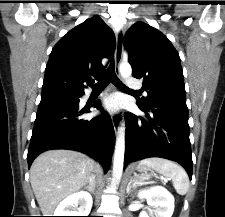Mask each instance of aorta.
Instances as JSON below:
<instances>
[{"instance_id":"aorta-1","label":"aorta","mask_w":225,"mask_h":217,"mask_svg":"<svg viewBox=\"0 0 225 217\" xmlns=\"http://www.w3.org/2000/svg\"><path fill=\"white\" fill-rule=\"evenodd\" d=\"M119 72L124 79L129 78L132 74L130 64L127 62L121 63L119 67ZM124 154H125V128L121 126L118 129L113 161V176L116 180H119L122 176Z\"/></svg>"}]
</instances>
